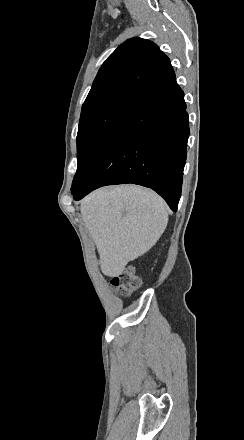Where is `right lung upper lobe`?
Listing matches in <instances>:
<instances>
[{"label":"right lung upper lobe","instance_id":"obj_1","mask_svg":"<svg viewBox=\"0 0 244 440\" xmlns=\"http://www.w3.org/2000/svg\"><path fill=\"white\" fill-rule=\"evenodd\" d=\"M174 75L169 58L156 44L132 38L104 62L84 104L118 95L141 98Z\"/></svg>","mask_w":244,"mask_h":440}]
</instances>
